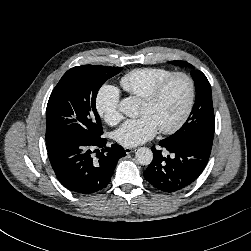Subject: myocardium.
<instances>
[{
  "mask_svg": "<svg viewBox=\"0 0 251 251\" xmlns=\"http://www.w3.org/2000/svg\"><path fill=\"white\" fill-rule=\"evenodd\" d=\"M176 79H183L186 81L188 86V99L185 106V109L180 116V118L171 126L169 127H162L158 128L159 132L162 134H173L177 132L179 129L182 128V126L186 123L188 120L194 103H195V96H196V88L193 78L184 72H178L172 74L170 77L165 79L163 82L158 84L148 95H146L143 98V103L147 105H152L156 103L160 97L163 95V93L166 91V89L176 80Z\"/></svg>",
  "mask_w": 251,
  "mask_h": 251,
  "instance_id": "obj_1",
  "label": "myocardium"
}]
</instances>
